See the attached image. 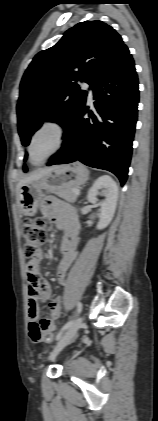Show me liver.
I'll return each instance as SVG.
<instances>
[{"instance_id": "6515ba94", "label": "liver", "mask_w": 158, "mask_h": 421, "mask_svg": "<svg viewBox=\"0 0 158 421\" xmlns=\"http://www.w3.org/2000/svg\"><path fill=\"white\" fill-rule=\"evenodd\" d=\"M55 167L56 166L47 167V168H40L38 170H35V171L31 172L29 175H27L26 177L21 179L18 183V186H17V194H18L22 185L41 178L42 176H44L45 174H47L48 172L53 170Z\"/></svg>"}]
</instances>
